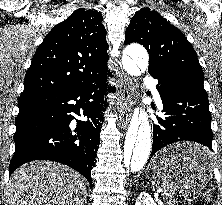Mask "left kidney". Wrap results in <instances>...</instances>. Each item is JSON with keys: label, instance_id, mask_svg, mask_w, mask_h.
Returning <instances> with one entry per match:
<instances>
[{"label": "left kidney", "instance_id": "obj_1", "mask_svg": "<svg viewBox=\"0 0 222 205\" xmlns=\"http://www.w3.org/2000/svg\"><path fill=\"white\" fill-rule=\"evenodd\" d=\"M135 205H157L147 192H141Z\"/></svg>", "mask_w": 222, "mask_h": 205}]
</instances>
